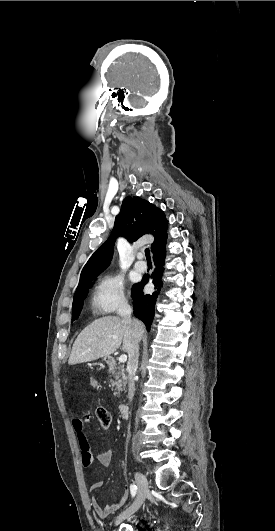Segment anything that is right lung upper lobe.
I'll return each instance as SVG.
<instances>
[{
	"label": "right lung upper lobe",
	"mask_w": 275,
	"mask_h": 531,
	"mask_svg": "<svg viewBox=\"0 0 275 531\" xmlns=\"http://www.w3.org/2000/svg\"><path fill=\"white\" fill-rule=\"evenodd\" d=\"M167 227L168 222L162 210L141 198L126 197L120 213L115 218L111 235L83 267L77 289L89 279L97 277L110 264L113 247L119 236L134 242L145 234H151L154 237L151 245L153 251L166 241Z\"/></svg>",
	"instance_id": "right-lung-upper-lobe-1"
}]
</instances>
